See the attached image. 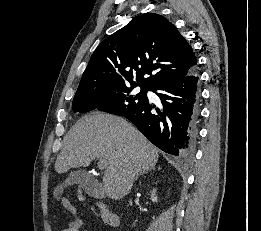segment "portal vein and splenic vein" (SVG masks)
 Segmentation results:
<instances>
[{
    "mask_svg": "<svg viewBox=\"0 0 261 231\" xmlns=\"http://www.w3.org/2000/svg\"><path fill=\"white\" fill-rule=\"evenodd\" d=\"M107 166V160L105 158H100L98 161V167L104 169Z\"/></svg>",
    "mask_w": 261,
    "mask_h": 231,
    "instance_id": "portal-vein-and-splenic-vein-1",
    "label": "portal vein and splenic vein"
}]
</instances>
